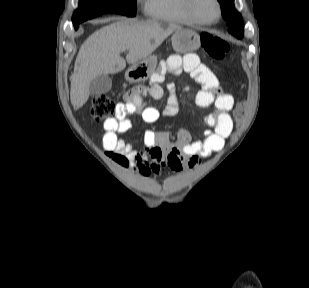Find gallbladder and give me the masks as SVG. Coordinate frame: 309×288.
<instances>
[{"label":"gallbladder","mask_w":309,"mask_h":288,"mask_svg":"<svg viewBox=\"0 0 309 288\" xmlns=\"http://www.w3.org/2000/svg\"><path fill=\"white\" fill-rule=\"evenodd\" d=\"M112 87V79L109 75H100L94 78L90 83V94L97 95L108 92Z\"/></svg>","instance_id":"obj_1"}]
</instances>
